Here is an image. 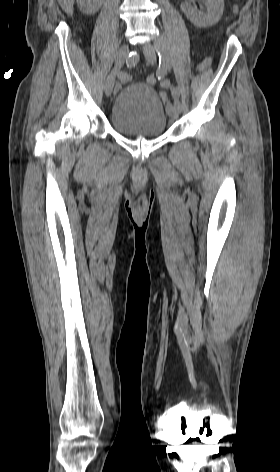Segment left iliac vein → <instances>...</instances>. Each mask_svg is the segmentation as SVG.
<instances>
[{
	"instance_id": "4c4485c4",
	"label": "left iliac vein",
	"mask_w": 280,
	"mask_h": 472,
	"mask_svg": "<svg viewBox=\"0 0 280 472\" xmlns=\"http://www.w3.org/2000/svg\"><path fill=\"white\" fill-rule=\"evenodd\" d=\"M158 42H161V41H158ZM143 53L149 63L154 64L156 62V51H155V47L152 44L146 43L143 46ZM167 112H168L169 117L175 120L178 118L180 110L174 104L168 103Z\"/></svg>"
}]
</instances>
